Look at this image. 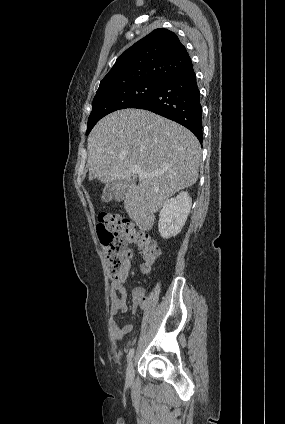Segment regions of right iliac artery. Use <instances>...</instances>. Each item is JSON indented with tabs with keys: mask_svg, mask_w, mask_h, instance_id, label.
I'll list each match as a JSON object with an SVG mask.
<instances>
[{
	"mask_svg": "<svg viewBox=\"0 0 285 424\" xmlns=\"http://www.w3.org/2000/svg\"><path fill=\"white\" fill-rule=\"evenodd\" d=\"M133 355H134V348L130 349V351L128 353V356H127L128 362L132 359Z\"/></svg>",
	"mask_w": 285,
	"mask_h": 424,
	"instance_id": "right-iliac-artery-1",
	"label": "right iliac artery"
}]
</instances>
